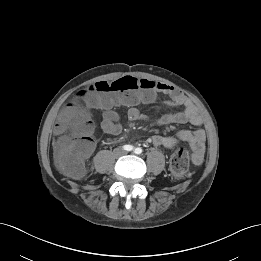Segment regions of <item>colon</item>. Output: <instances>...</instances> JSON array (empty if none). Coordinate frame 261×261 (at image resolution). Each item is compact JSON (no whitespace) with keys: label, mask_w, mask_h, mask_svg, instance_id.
I'll use <instances>...</instances> for the list:
<instances>
[{"label":"colon","mask_w":261,"mask_h":261,"mask_svg":"<svg viewBox=\"0 0 261 261\" xmlns=\"http://www.w3.org/2000/svg\"><path fill=\"white\" fill-rule=\"evenodd\" d=\"M158 83L126 76L116 81H98L77 93V99L91 105L107 103L111 98L120 105L133 104L153 99ZM99 96V97H98ZM65 119L68 124L58 130L60 150L55 163L60 171L71 178H80L84 174V156L89 148L90 139L83 130V120L78 119L75 111L67 110ZM191 156L189 150L181 146L173 153L170 171L176 178H182L189 172Z\"/></svg>","instance_id":"1"}]
</instances>
